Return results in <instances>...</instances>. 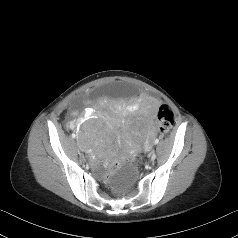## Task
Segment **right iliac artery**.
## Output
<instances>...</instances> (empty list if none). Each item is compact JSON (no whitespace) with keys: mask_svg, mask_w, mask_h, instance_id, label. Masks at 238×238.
<instances>
[{"mask_svg":"<svg viewBox=\"0 0 238 238\" xmlns=\"http://www.w3.org/2000/svg\"><path fill=\"white\" fill-rule=\"evenodd\" d=\"M75 137H76V135L74 133H72V138H75Z\"/></svg>","mask_w":238,"mask_h":238,"instance_id":"82829eb1","label":"right iliac artery"}]
</instances>
